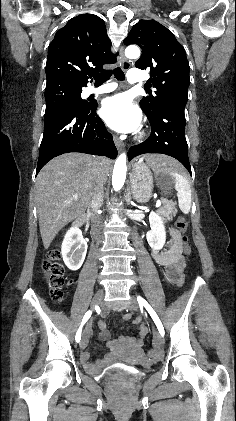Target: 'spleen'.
Instances as JSON below:
<instances>
[{
  "mask_svg": "<svg viewBox=\"0 0 236 421\" xmlns=\"http://www.w3.org/2000/svg\"><path fill=\"white\" fill-rule=\"evenodd\" d=\"M142 160L143 158H140L139 162H142ZM171 164H173V162H169V164H165V166H168L169 170H171V174H173L175 178V188L177 190L180 211H182L184 215H188V213H190L192 198L190 182H188L186 176L180 174L177 168H173Z\"/></svg>",
  "mask_w": 236,
  "mask_h": 421,
  "instance_id": "1",
  "label": "spleen"
}]
</instances>
